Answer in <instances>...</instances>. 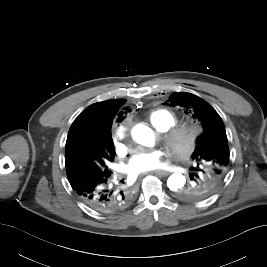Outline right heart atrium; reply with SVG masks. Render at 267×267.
I'll return each instance as SVG.
<instances>
[{
  "label": "right heart atrium",
  "instance_id": "right-heart-atrium-1",
  "mask_svg": "<svg viewBox=\"0 0 267 267\" xmlns=\"http://www.w3.org/2000/svg\"><path fill=\"white\" fill-rule=\"evenodd\" d=\"M127 133H128V128H127L126 125H121V126L118 127V129H117V137L119 139H125L126 136H127ZM116 148H117V151L119 152V151L124 149V146H123L122 143L116 142Z\"/></svg>",
  "mask_w": 267,
  "mask_h": 267
}]
</instances>
